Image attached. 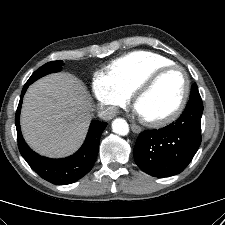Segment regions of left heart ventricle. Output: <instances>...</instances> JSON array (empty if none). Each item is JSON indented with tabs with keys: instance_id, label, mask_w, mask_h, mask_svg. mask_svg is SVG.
<instances>
[{
	"instance_id": "obj_1",
	"label": "left heart ventricle",
	"mask_w": 225,
	"mask_h": 225,
	"mask_svg": "<svg viewBox=\"0 0 225 225\" xmlns=\"http://www.w3.org/2000/svg\"><path fill=\"white\" fill-rule=\"evenodd\" d=\"M184 89V76L171 70L161 76L154 86L137 102L135 110L143 118L156 119L170 113L179 103Z\"/></svg>"
}]
</instances>
